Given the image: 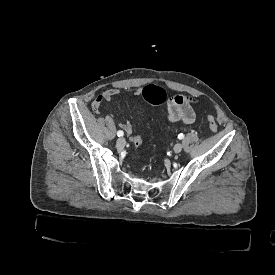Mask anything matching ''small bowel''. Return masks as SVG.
I'll return each mask as SVG.
<instances>
[{
    "mask_svg": "<svg viewBox=\"0 0 275 275\" xmlns=\"http://www.w3.org/2000/svg\"><path fill=\"white\" fill-rule=\"evenodd\" d=\"M135 97L141 96V89L135 88L128 90ZM121 91L117 88H109L99 94L91 104V110L95 115L101 111L102 104L109 102L115 97L119 96ZM197 102L196 99L178 94L170 97L167 101L168 120L172 123H182L185 125L191 124L195 120V112L192 104ZM120 127L130 136H133V126L129 121L120 123Z\"/></svg>",
    "mask_w": 275,
    "mask_h": 275,
    "instance_id": "small-bowel-1",
    "label": "small bowel"
}]
</instances>
